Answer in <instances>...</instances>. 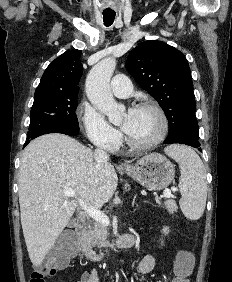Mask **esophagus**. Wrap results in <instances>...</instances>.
I'll list each match as a JSON object with an SVG mask.
<instances>
[{
	"label": "esophagus",
	"instance_id": "1",
	"mask_svg": "<svg viewBox=\"0 0 232 282\" xmlns=\"http://www.w3.org/2000/svg\"><path fill=\"white\" fill-rule=\"evenodd\" d=\"M121 167L126 168V167H128V165L126 163H121Z\"/></svg>",
	"mask_w": 232,
	"mask_h": 282
}]
</instances>
